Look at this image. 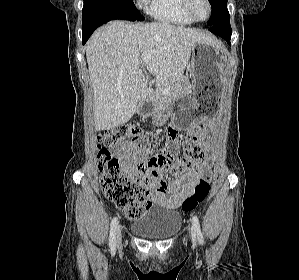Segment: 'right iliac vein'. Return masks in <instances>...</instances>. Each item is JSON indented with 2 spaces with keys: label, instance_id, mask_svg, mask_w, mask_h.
Segmentation results:
<instances>
[{
  "label": "right iliac vein",
  "instance_id": "1",
  "mask_svg": "<svg viewBox=\"0 0 299 280\" xmlns=\"http://www.w3.org/2000/svg\"><path fill=\"white\" fill-rule=\"evenodd\" d=\"M116 240H117V245L119 246L121 244L122 240V235H121V226H118L117 232H116Z\"/></svg>",
  "mask_w": 299,
  "mask_h": 280
}]
</instances>
